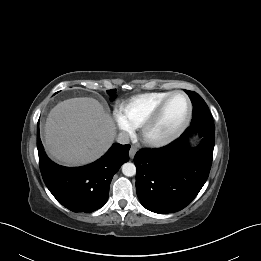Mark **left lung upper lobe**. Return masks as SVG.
I'll return each instance as SVG.
<instances>
[{"instance_id":"1","label":"left lung upper lobe","mask_w":261,"mask_h":261,"mask_svg":"<svg viewBox=\"0 0 261 261\" xmlns=\"http://www.w3.org/2000/svg\"><path fill=\"white\" fill-rule=\"evenodd\" d=\"M185 92L188 94L193 104V118L191 125L214 126L212 115L202 97L192 91L185 90Z\"/></svg>"}]
</instances>
